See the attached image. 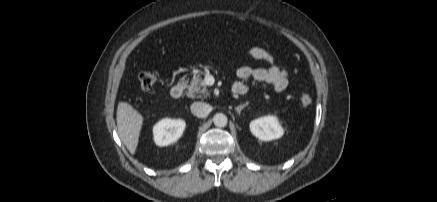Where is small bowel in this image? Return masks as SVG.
<instances>
[{
  "instance_id": "1",
  "label": "small bowel",
  "mask_w": 437,
  "mask_h": 202,
  "mask_svg": "<svg viewBox=\"0 0 437 202\" xmlns=\"http://www.w3.org/2000/svg\"><path fill=\"white\" fill-rule=\"evenodd\" d=\"M248 55L256 60L267 62L268 68H252L250 66H241L237 70L238 80L234 83L232 89L238 95H243L249 90L250 81H255L272 87L276 92L284 91L288 86V71L278 65L274 56L264 48L252 47Z\"/></svg>"
}]
</instances>
